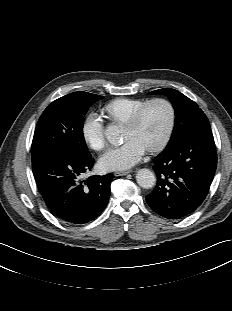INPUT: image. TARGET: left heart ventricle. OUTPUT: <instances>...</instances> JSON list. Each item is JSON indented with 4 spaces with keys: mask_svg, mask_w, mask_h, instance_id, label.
Masks as SVG:
<instances>
[{
    "mask_svg": "<svg viewBox=\"0 0 232 311\" xmlns=\"http://www.w3.org/2000/svg\"><path fill=\"white\" fill-rule=\"evenodd\" d=\"M168 121V108L164 104H155L147 110L137 127L124 129V140L136 139L149 148L161 139Z\"/></svg>",
    "mask_w": 232,
    "mask_h": 311,
    "instance_id": "1",
    "label": "left heart ventricle"
}]
</instances>
